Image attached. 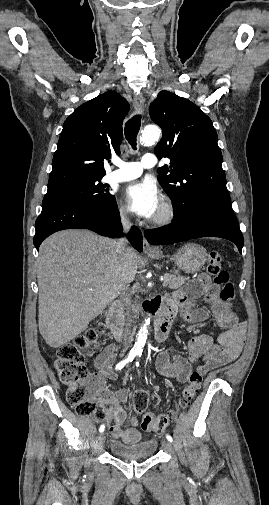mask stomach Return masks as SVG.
Here are the masks:
<instances>
[{
	"instance_id": "0dacf381",
	"label": "stomach",
	"mask_w": 269,
	"mask_h": 505,
	"mask_svg": "<svg viewBox=\"0 0 269 505\" xmlns=\"http://www.w3.org/2000/svg\"><path fill=\"white\" fill-rule=\"evenodd\" d=\"M151 259H162L163 254L157 252L150 254ZM176 266L186 273H195L199 271L205 264L207 260V251L204 247L194 244L187 243L173 257Z\"/></svg>"
}]
</instances>
